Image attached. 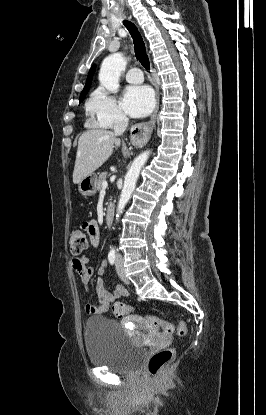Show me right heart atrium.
<instances>
[{
    "label": "right heart atrium",
    "instance_id": "d8ad5b80",
    "mask_svg": "<svg viewBox=\"0 0 266 415\" xmlns=\"http://www.w3.org/2000/svg\"><path fill=\"white\" fill-rule=\"evenodd\" d=\"M91 122L102 128H110L127 121V116L116 98L104 88L96 89L86 103Z\"/></svg>",
    "mask_w": 266,
    "mask_h": 415
}]
</instances>
